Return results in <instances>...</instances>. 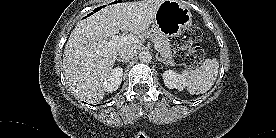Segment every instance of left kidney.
<instances>
[{"label":"left kidney","mask_w":276,"mask_h":138,"mask_svg":"<svg viewBox=\"0 0 276 138\" xmlns=\"http://www.w3.org/2000/svg\"><path fill=\"white\" fill-rule=\"evenodd\" d=\"M163 80L169 89H178L182 91L185 88L184 78L173 70H166L163 73Z\"/></svg>","instance_id":"5707ae66"}]
</instances>
